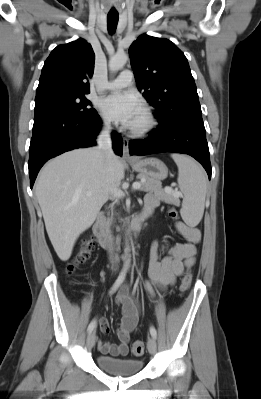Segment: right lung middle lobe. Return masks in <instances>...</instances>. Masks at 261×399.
I'll list each match as a JSON object with an SVG mask.
<instances>
[{
  "label": "right lung middle lobe",
  "mask_w": 261,
  "mask_h": 399,
  "mask_svg": "<svg viewBox=\"0 0 261 399\" xmlns=\"http://www.w3.org/2000/svg\"><path fill=\"white\" fill-rule=\"evenodd\" d=\"M91 102L84 94H63L35 99V116L50 113L63 112L81 119H90L97 112L88 109Z\"/></svg>",
  "instance_id": "1"
}]
</instances>
